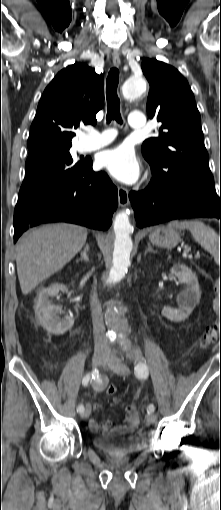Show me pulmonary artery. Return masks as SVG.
<instances>
[{
    "label": "pulmonary artery",
    "instance_id": "pulmonary-artery-1",
    "mask_svg": "<svg viewBox=\"0 0 221 510\" xmlns=\"http://www.w3.org/2000/svg\"><path fill=\"white\" fill-rule=\"evenodd\" d=\"M129 125L134 129H144V115L141 112H132L129 116ZM114 137V130L104 129L102 131H93L88 134L84 143V149L91 151L102 148L113 141Z\"/></svg>",
    "mask_w": 221,
    "mask_h": 510
}]
</instances>
